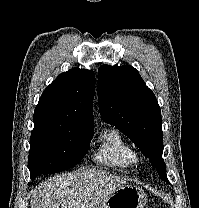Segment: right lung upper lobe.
Masks as SVG:
<instances>
[{"label":"right lung upper lobe","instance_id":"obj_1","mask_svg":"<svg viewBox=\"0 0 199 208\" xmlns=\"http://www.w3.org/2000/svg\"><path fill=\"white\" fill-rule=\"evenodd\" d=\"M95 75L74 68L60 74L43 92L34 111V122L61 126H93Z\"/></svg>","mask_w":199,"mask_h":208}]
</instances>
